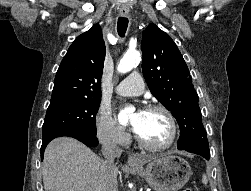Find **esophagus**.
<instances>
[{"mask_svg":"<svg viewBox=\"0 0 251 191\" xmlns=\"http://www.w3.org/2000/svg\"><path fill=\"white\" fill-rule=\"evenodd\" d=\"M128 12H120V15L125 16ZM128 166L130 167H138L140 165V159L136 156H128L127 159Z\"/></svg>","mask_w":251,"mask_h":191,"instance_id":"34e87169","label":"esophagus"}]
</instances>
